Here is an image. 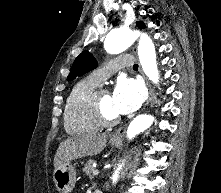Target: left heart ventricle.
<instances>
[{"instance_id":"obj_1","label":"left heart ventricle","mask_w":221,"mask_h":193,"mask_svg":"<svg viewBox=\"0 0 221 193\" xmlns=\"http://www.w3.org/2000/svg\"><path fill=\"white\" fill-rule=\"evenodd\" d=\"M102 105L104 110L110 116L118 115V113L114 109L112 93L108 90L102 96Z\"/></svg>"}]
</instances>
